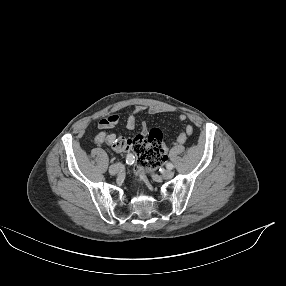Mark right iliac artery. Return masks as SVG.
Returning <instances> with one entry per match:
<instances>
[{"instance_id": "1", "label": "right iliac artery", "mask_w": 286, "mask_h": 286, "mask_svg": "<svg viewBox=\"0 0 286 286\" xmlns=\"http://www.w3.org/2000/svg\"><path fill=\"white\" fill-rule=\"evenodd\" d=\"M126 163L128 165H132L134 163V156L132 154H128L126 157Z\"/></svg>"}]
</instances>
